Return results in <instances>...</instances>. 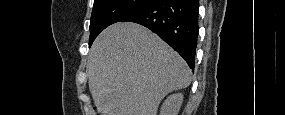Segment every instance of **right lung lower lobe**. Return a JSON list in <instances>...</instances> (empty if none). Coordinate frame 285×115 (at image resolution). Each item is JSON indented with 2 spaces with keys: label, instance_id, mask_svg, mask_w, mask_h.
<instances>
[{
  "label": "right lung lower lobe",
  "instance_id": "obj_1",
  "mask_svg": "<svg viewBox=\"0 0 285 115\" xmlns=\"http://www.w3.org/2000/svg\"><path fill=\"white\" fill-rule=\"evenodd\" d=\"M198 16V0H150L117 22H134L149 28L175 49L193 70Z\"/></svg>",
  "mask_w": 285,
  "mask_h": 115
}]
</instances>
